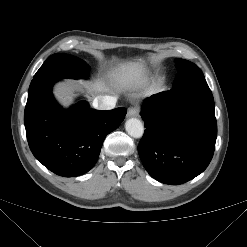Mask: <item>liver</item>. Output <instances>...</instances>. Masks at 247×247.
I'll return each instance as SVG.
<instances>
[{
	"mask_svg": "<svg viewBox=\"0 0 247 247\" xmlns=\"http://www.w3.org/2000/svg\"><path fill=\"white\" fill-rule=\"evenodd\" d=\"M115 82L122 88H136L142 87L147 83L144 66L140 62H123L120 63L110 74ZM90 90L97 92H107L109 88L101 80H97L91 85H86ZM71 90L69 88H59L57 95L66 103L72 101Z\"/></svg>",
	"mask_w": 247,
	"mask_h": 247,
	"instance_id": "1",
	"label": "liver"
}]
</instances>
